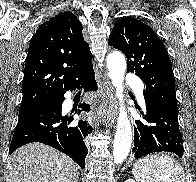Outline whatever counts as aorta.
<instances>
[{"instance_id":"1","label":"aorta","mask_w":196,"mask_h":182,"mask_svg":"<svg viewBox=\"0 0 196 182\" xmlns=\"http://www.w3.org/2000/svg\"><path fill=\"white\" fill-rule=\"evenodd\" d=\"M109 76L113 86L116 88V95L120 103L124 98V74L126 71V60L122 53L112 52L107 57ZM132 143V129L130 120L124 107L119 110L117 129L113 144V157L116 164H121L127 158Z\"/></svg>"}]
</instances>
